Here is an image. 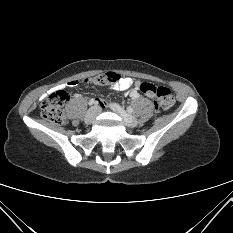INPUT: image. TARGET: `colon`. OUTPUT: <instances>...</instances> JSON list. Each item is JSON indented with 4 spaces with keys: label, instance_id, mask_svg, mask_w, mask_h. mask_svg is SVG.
I'll return each instance as SVG.
<instances>
[{
    "label": "colon",
    "instance_id": "colon-1",
    "mask_svg": "<svg viewBox=\"0 0 233 233\" xmlns=\"http://www.w3.org/2000/svg\"><path fill=\"white\" fill-rule=\"evenodd\" d=\"M108 73H100L86 80H91V84L95 85H114V82L108 78ZM139 89L145 95L154 98L155 108L158 112L170 109L175 103L174 96L167 87L142 82ZM67 100L68 94L64 90L47 95L41 103L42 118L54 124H62L65 121L63 106Z\"/></svg>",
    "mask_w": 233,
    "mask_h": 233
}]
</instances>
